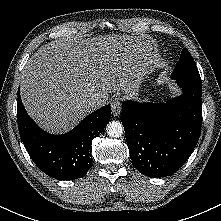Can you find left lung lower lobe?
<instances>
[{
  "mask_svg": "<svg viewBox=\"0 0 221 221\" xmlns=\"http://www.w3.org/2000/svg\"><path fill=\"white\" fill-rule=\"evenodd\" d=\"M183 94L166 104L125 101L121 122L135 168L148 177L174 174L191 155L202 124L201 78L175 79Z\"/></svg>",
  "mask_w": 221,
  "mask_h": 221,
  "instance_id": "left-lung-lower-lobe-1",
  "label": "left lung lower lobe"
}]
</instances>
